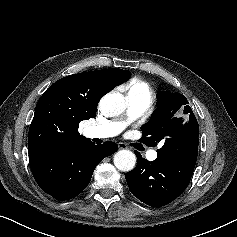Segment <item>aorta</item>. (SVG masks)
<instances>
[{
  "label": "aorta",
  "mask_w": 237,
  "mask_h": 237,
  "mask_svg": "<svg viewBox=\"0 0 237 237\" xmlns=\"http://www.w3.org/2000/svg\"><path fill=\"white\" fill-rule=\"evenodd\" d=\"M101 110L109 116H117L126 109L124 96L118 92H109L100 100ZM115 167L123 172L131 171L136 164V156L129 150H120L114 155Z\"/></svg>",
  "instance_id": "1"
}]
</instances>
